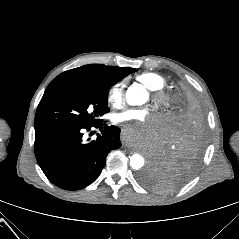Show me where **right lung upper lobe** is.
Masks as SVG:
<instances>
[{
    "mask_svg": "<svg viewBox=\"0 0 239 239\" xmlns=\"http://www.w3.org/2000/svg\"><path fill=\"white\" fill-rule=\"evenodd\" d=\"M136 71V69L128 67H112L102 64H89L61 73L49 84V86L64 82L120 81L127 75Z\"/></svg>",
    "mask_w": 239,
    "mask_h": 239,
    "instance_id": "cb5924a9",
    "label": "right lung upper lobe"
}]
</instances>
